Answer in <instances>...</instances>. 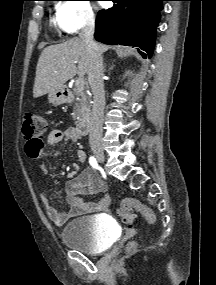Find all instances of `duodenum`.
<instances>
[{"label": "duodenum", "mask_w": 216, "mask_h": 285, "mask_svg": "<svg viewBox=\"0 0 216 285\" xmlns=\"http://www.w3.org/2000/svg\"><path fill=\"white\" fill-rule=\"evenodd\" d=\"M77 129L82 135H86L90 132V130H91V117H90V115H86L80 119V121L77 125Z\"/></svg>", "instance_id": "duodenum-1"}]
</instances>
